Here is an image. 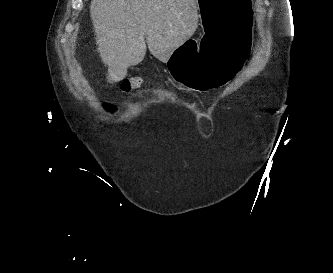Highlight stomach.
<instances>
[{"label":"stomach","mask_w":333,"mask_h":273,"mask_svg":"<svg viewBox=\"0 0 333 273\" xmlns=\"http://www.w3.org/2000/svg\"><path fill=\"white\" fill-rule=\"evenodd\" d=\"M205 31L199 44L187 39L169 53L168 70L179 84L198 92L235 81L251 51L253 0H196ZM197 47V49H196Z\"/></svg>","instance_id":"stomach-1"}]
</instances>
